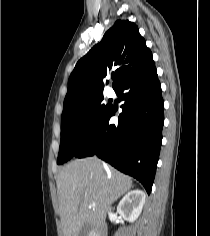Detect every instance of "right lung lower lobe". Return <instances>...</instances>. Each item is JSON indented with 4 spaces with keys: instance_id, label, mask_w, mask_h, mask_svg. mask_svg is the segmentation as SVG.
I'll return each instance as SVG.
<instances>
[{
    "instance_id": "1",
    "label": "right lung lower lobe",
    "mask_w": 210,
    "mask_h": 236,
    "mask_svg": "<svg viewBox=\"0 0 210 236\" xmlns=\"http://www.w3.org/2000/svg\"><path fill=\"white\" fill-rule=\"evenodd\" d=\"M122 113L118 125L109 112L75 155H97L121 172L139 180L150 194L162 142L164 101L154 63L123 81L116 89Z\"/></svg>"
}]
</instances>
